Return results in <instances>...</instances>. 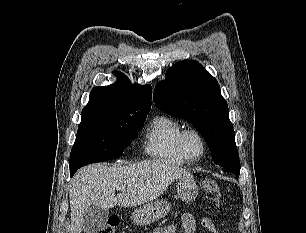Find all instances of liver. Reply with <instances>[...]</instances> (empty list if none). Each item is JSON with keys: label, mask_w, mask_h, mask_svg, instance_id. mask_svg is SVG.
<instances>
[{"label": "liver", "mask_w": 306, "mask_h": 233, "mask_svg": "<svg viewBox=\"0 0 306 233\" xmlns=\"http://www.w3.org/2000/svg\"><path fill=\"white\" fill-rule=\"evenodd\" d=\"M189 177L192 175L187 170L163 160L85 166L76 172L70 185V233H81L84 214L91 206L135 207L158 198L173 181ZM119 186L125 189L116 196Z\"/></svg>", "instance_id": "obj_1"}]
</instances>
